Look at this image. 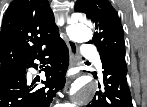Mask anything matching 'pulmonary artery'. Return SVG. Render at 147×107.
<instances>
[{"mask_svg": "<svg viewBox=\"0 0 147 107\" xmlns=\"http://www.w3.org/2000/svg\"><path fill=\"white\" fill-rule=\"evenodd\" d=\"M82 53L83 55L90 57L94 60L95 65L100 68L101 67V61L97 57L95 48L89 46V45H83L82 46Z\"/></svg>", "mask_w": 147, "mask_h": 107, "instance_id": "pulmonary-artery-1", "label": "pulmonary artery"}]
</instances>
